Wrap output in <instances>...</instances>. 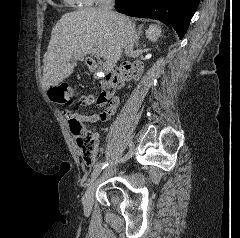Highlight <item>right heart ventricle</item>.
I'll return each mask as SVG.
<instances>
[{"mask_svg": "<svg viewBox=\"0 0 240 238\" xmlns=\"http://www.w3.org/2000/svg\"><path fill=\"white\" fill-rule=\"evenodd\" d=\"M69 4H82L81 0H64Z\"/></svg>", "mask_w": 240, "mask_h": 238, "instance_id": "right-heart-ventricle-1", "label": "right heart ventricle"}]
</instances>
